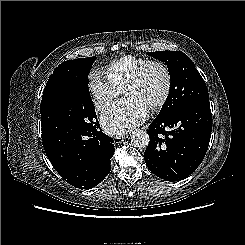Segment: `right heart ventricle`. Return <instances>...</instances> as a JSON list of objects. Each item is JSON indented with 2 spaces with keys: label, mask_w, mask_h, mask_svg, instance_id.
<instances>
[{
  "label": "right heart ventricle",
  "mask_w": 245,
  "mask_h": 245,
  "mask_svg": "<svg viewBox=\"0 0 245 245\" xmlns=\"http://www.w3.org/2000/svg\"><path fill=\"white\" fill-rule=\"evenodd\" d=\"M149 61L139 56H125L111 62L106 67V76L119 90H122L127 81Z\"/></svg>",
  "instance_id": "1"
}]
</instances>
